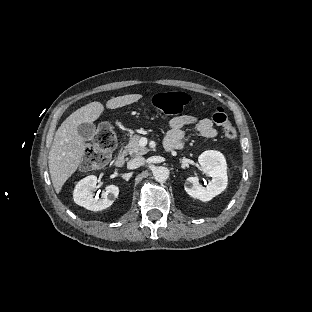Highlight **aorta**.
Returning a JSON list of instances; mask_svg holds the SVG:
<instances>
[{
	"label": "aorta",
	"mask_w": 312,
	"mask_h": 312,
	"mask_svg": "<svg viewBox=\"0 0 312 312\" xmlns=\"http://www.w3.org/2000/svg\"><path fill=\"white\" fill-rule=\"evenodd\" d=\"M152 173L157 182H165L169 177V170L163 166L155 167Z\"/></svg>",
	"instance_id": "obj_1"
}]
</instances>
